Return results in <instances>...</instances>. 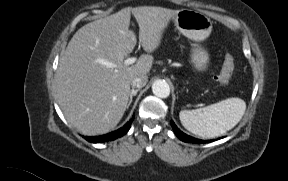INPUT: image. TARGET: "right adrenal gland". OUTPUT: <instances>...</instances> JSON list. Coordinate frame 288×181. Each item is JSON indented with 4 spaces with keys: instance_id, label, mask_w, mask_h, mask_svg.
Segmentation results:
<instances>
[{
    "instance_id": "obj_1",
    "label": "right adrenal gland",
    "mask_w": 288,
    "mask_h": 181,
    "mask_svg": "<svg viewBox=\"0 0 288 181\" xmlns=\"http://www.w3.org/2000/svg\"><path fill=\"white\" fill-rule=\"evenodd\" d=\"M139 90L140 89H132L131 90L130 96H129V102H128V105H127V109L129 108L130 104L132 103L133 96H135Z\"/></svg>"
}]
</instances>
